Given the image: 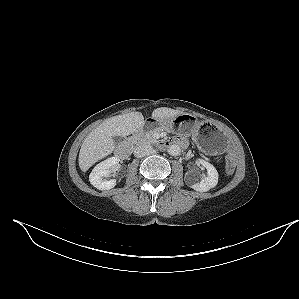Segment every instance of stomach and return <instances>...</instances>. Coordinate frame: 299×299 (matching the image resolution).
I'll return each mask as SVG.
<instances>
[{
  "label": "stomach",
  "instance_id": "obj_1",
  "mask_svg": "<svg viewBox=\"0 0 299 299\" xmlns=\"http://www.w3.org/2000/svg\"><path fill=\"white\" fill-rule=\"evenodd\" d=\"M177 128L180 133H189L196 145L208 153H219L226 145L227 138L224 132L216 125L204 121H197L189 114H181L174 118L155 120L148 119L144 130L161 128L173 131Z\"/></svg>",
  "mask_w": 299,
  "mask_h": 299
}]
</instances>
